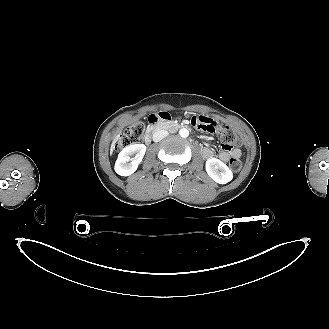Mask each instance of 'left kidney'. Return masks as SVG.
Wrapping results in <instances>:
<instances>
[{
  "label": "left kidney",
  "instance_id": "1",
  "mask_svg": "<svg viewBox=\"0 0 329 329\" xmlns=\"http://www.w3.org/2000/svg\"><path fill=\"white\" fill-rule=\"evenodd\" d=\"M205 168L209 177L219 184H226L233 179L229 167L217 158L208 159Z\"/></svg>",
  "mask_w": 329,
  "mask_h": 329
}]
</instances>
